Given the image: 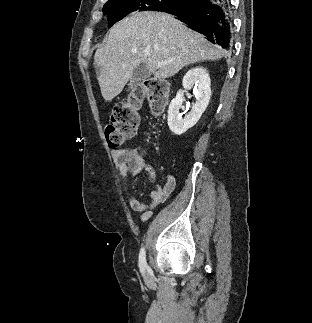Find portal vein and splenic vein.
<instances>
[{"label": "portal vein and splenic vein", "mask_w": 312, "mask_h": 323, "mask_svg": "<svg viewBox=\"0 0 312 323\" xmlns=\"http://www.w3.org/2000/svg\"><path fill=\"white\" fill-rule=\"evenodd\" d=\"M148 56V54H146ZM170 62H173V60H169V62H158L156 68H162V66H166V64H170Z\"/></svg>", "instance_id": "18ae733b"}]
</instances>
